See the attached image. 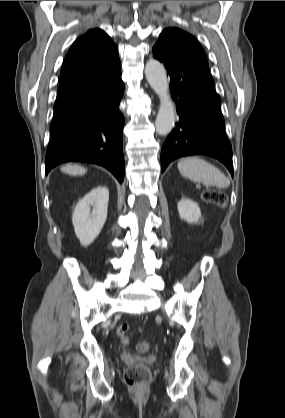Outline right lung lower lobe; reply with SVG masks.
I'll use <instances>...</instances> for the list:
<instances>
[{"label":"right lung lower lobe","instance_id":"98d812e1","mask_svg":"<svg viewBox=\"0 0 285 418\" xmlns=\"http://www.w3.org/2000/svg\"><path fill=\"white\" fill-rule=\"evenodd\" d=\"M123 93L120 75L96 91L54 109L45 157L46 174L58 164L80 161L101 165L123 182L125 119L119 111Z\"/></svg>","mask_w":285,"mask_h":418}]
</instances>
